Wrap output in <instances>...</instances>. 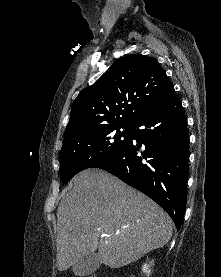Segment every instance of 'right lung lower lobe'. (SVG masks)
Masks as SVG:
<instances>
[{"label":"right lung lower lobe","mask_w":221,"mask_h":277,"mask_svg":"<svg viewBox=\"0 0 221 277\" xmlns=\"http://www.w3.org/2000/svg\"><path fill=\"white\" fill-rule=\"evenodd\" d=\"M132 128L129 144L93 167L112 173L149 196L179 230L186 208L189 136L175 90L141 114Z\"/></svg>","instance_id":"obj_1"}]
</instances>
